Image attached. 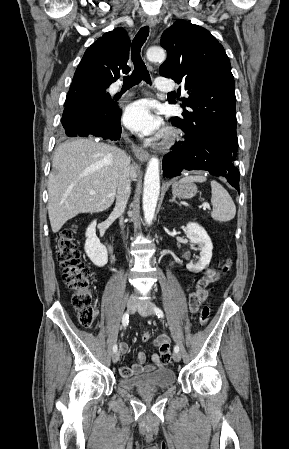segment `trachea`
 Returning a JSON list of instances; mask_svg holds the SVG:
<instances>
[{
    "label": "trachea",
    "instance_id": "obj_1",
    "mask_svg": "<svg viewBox=\"0 0 289 449\" xmlns=\"http://www.w3.org/2000/svg\"><path fill=\"white\" fill-rule=\"evenodd\" d=\"M149 35V27H142L134 37L131 47V59L134 64V70L130 76L123 79V89H130L139 84L142 80L150 84V74L144 61L141 58V48Z\"/></svg>",
    "mask_w": 289,
    "mask_h": 449
}]
</instances>
